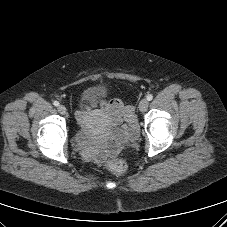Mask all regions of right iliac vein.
Listing matches in <instances>:
<instances>
[{
	"label": "right iliac vein",
	"instance_id": "obj_1",
	"mask_svg": "<svg viewBox=\"0 0 227 227\" xmlns=\"http://www.w3.org/2000/svg\"><path fill=\"white\" fill-rule=\"evenodd\" d=\"M58 111H59L62 115H64V114H66L67 109H66V107H65L64 105H59V106H58Z\"/></svg>",
	"mask_w": 227,
	"mask_h": 227
}]
</instances>
